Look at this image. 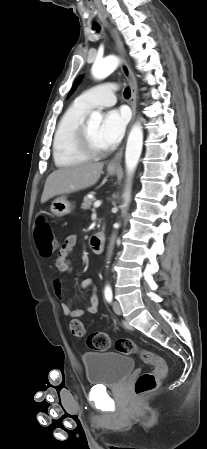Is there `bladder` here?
Masks as SVG:
<instances>
[{
	"mask_svg": "<svg viewBox=\"0 0 207 449\" xmlns=\"http://www.w3.org/2000/svg\"><path fill=\"white\" fill-rule=\"evenodd\" d=\"M82 361L90 386L116 387L135 369L134 359L118 352H86Z\"/></svg>",
	"mask_w": 207,
	"mask_h": 449,
	"instance_id": "31cf9c89",
	"label": "bladder"
}]
</instances>
